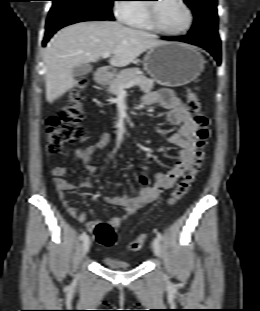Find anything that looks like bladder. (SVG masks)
<instances>
[{
	"label": "bladder",
	"mask_w": 260,
	"mask_h": 311,
	"mask_svg": "<svg viewBox=\"0 0 260 311\" xmlns=\"http://www.w3.org/2000/svg\"><path fill=\"white\" fill-rule=\"evenodd\" d=\"M100 261L103 265L114 270L131 269L133 267L132 264L120 260L117 256L109 254H102L100 257Z\"/></svg>",
	"instance_id": "bladder-1"
}]
</instances>
